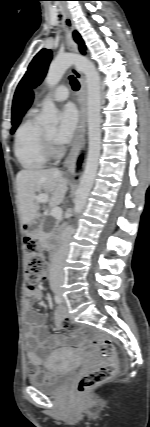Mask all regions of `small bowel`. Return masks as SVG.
<instances>
[{"label": "small bowel", "instance_id": "small-bowel-1", "mask_svg": "<svg viewBox=\"0 0 150 427\" xmlns=\"http://www.w3.org/2000/svg\"><path fill=\"white\" fill-rule=\"evenodd\" d=\"M29 297L41 301L43 293L41 288H36L29 292ZM54 327L58 330L66 331L67 334H74L79 329V324L75 319L66 318V310L58 307L53 317ZM82 346V340L78 335L51 334L48 330L45 316L33 310L28 305L26 314V354L29 364L33 367L29 371L31 378H46L48 368L59 358L71 354V349ZM63 347L59 354L50 355L46 362V369L41 371L42 358L38 351L46 353L55 348Z\"/></svg>", "mask_w": 150, "mask_h": 427}]
</instances>
